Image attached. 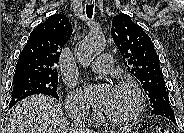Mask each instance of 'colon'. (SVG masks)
Returning <instances> with one entry per match:
<instances>
[{
  "label": "colon",
  "mask_w": 184,
  "mask_h": 133,
  "mask_svg": "<svg viewBox=\"0 0 184 133\" xmlns=\"http://www.w3.org/2000/svg\"><path fill=\"white\" fill-rule=\"evenodd\" d=\"M157 132L158 133H169L170 130L168 128H160Z\"/></svg>",
  "instance_id": "5ec220e1"
}]
</instances>
